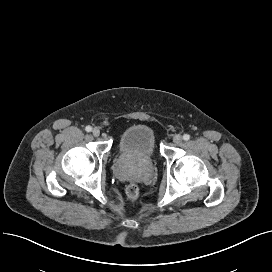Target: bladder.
<instances>
[{"instance_id": "1", "label": "bladder", "mask_w": 272, "mask_h": 272, "mask_svg": "<svg viewBox=\"0 0 272 272\" xmlns=\"http://www.w3.org/2000/svg\"><path fill=\"white\" fill-rule=\"evenodd\" d=\"M157 147L155 130L145 124H135L127 128L119 137L121 153L139 158L151 159Z\"/></svg>"}]
</instances>
